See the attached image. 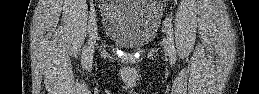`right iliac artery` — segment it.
<instances>
[{
	"label": "right iliac artery",
	"instance_id": "right-iliac-artery-1",
	"mask_svg": "<svg viewBox=\"0 0 259 94\" xmlns=\"http://www.w3.org/2000/svg\"><path fill=\"white\" fill-rule=\"evenodd\" d=\"M89 24H88V33L91 32L94 24H95V9L93 6H91V11H90V17H89ZM87 60H88V57H87V48L85 47L83 52H82V64H86L87 63Z\"/></svg>",
	"mask_w": 259,
	"mask_h": 94
}]
</instances>
